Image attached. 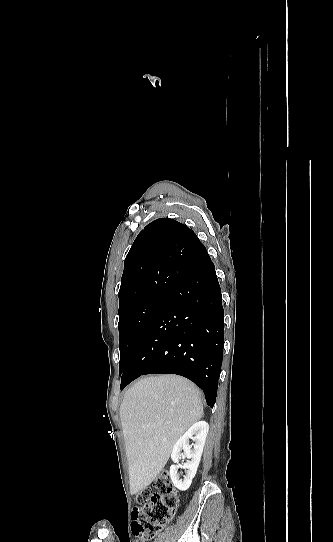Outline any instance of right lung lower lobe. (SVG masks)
I'll return each mask as SVG.
<instances>
[{"label": "right lung lower lobe", "instance_id": "right-lung-lower-lobe-1", "mask_svg": "<svg viewBox=\"0 0 333 542\" xmlns=\"http://www.w3.org/2000/svg\"><path fill=\"white\" fill-rule=\"evenodd\" d=\"M159 256L185 277L167 293L143 329L120 388L145 374H178L198 385L213 407L224 341V310L214 264L205 247L194 253L168 248Z\"/></svg>", "mask_w": 333, "mask_h": 542}]
</instances>
